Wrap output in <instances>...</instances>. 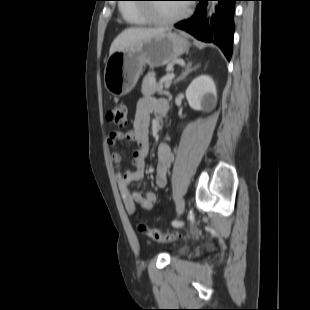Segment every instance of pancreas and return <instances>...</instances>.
Listing matches in <instances>:
<instances>
[{
	"label": "pancreas",
	"instance_id": "pancreas-1",
	"mask_svg": "<svg viewBox=\"0 0 310 310\" xmlns=\"http://www.w3.org/2000/svg\"><path fill=\"white\" fill-rule=\"evenodd\" d=\"M171 85V81H166L163 83H157L155 80V73L153 71L148 72V74L144 77L142 82L141 92L143 95H151L156 92H160L163 89H168Z\"/></svg>",
	"mask_w": 310,
	"mask_h": 310
}]
</instances>
